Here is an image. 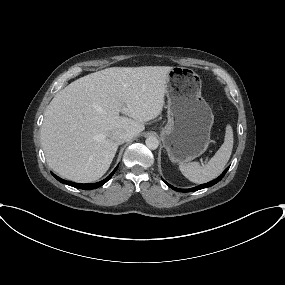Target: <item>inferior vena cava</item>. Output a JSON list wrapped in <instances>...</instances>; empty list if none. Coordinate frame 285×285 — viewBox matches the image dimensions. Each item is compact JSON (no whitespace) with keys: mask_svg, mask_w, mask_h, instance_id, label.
Wrapping results in <instances>:
<instances>
[{"mask_svg":"<svg viewBox=\"0 0 285 285\" xmlns=\"http://www.w3.org/2000/svg\"><path fill=\"white\" fill-rule=\"evenodd\" d=\"M112 140L120 145L130 139V135L123 130H116L111 135Z\"/></svg>","mask_w":285,"mask_h":285,"instance_id":"602c4592","label":"inferior vena cava"}]
</instances>
